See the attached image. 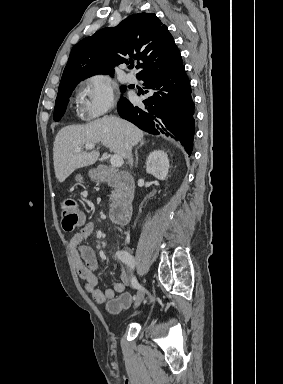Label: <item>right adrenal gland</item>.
Returning a JSON list of instances; mask_svg holds the SVG:
<instances>
[{
  "label": "right adrenal gland",
  "instance_id": "1",
  "mask_svg": "<svg viewBox=\"0 0 283 384\" xmlns=\"http://www.w3.org/2000/svg\"><path fill=\"white\" fill-rule=\"evenodd\" d=\"M143 144H145L144 140H142V142H140V146H143ZM140 146H138V148H136V150H135V156H136L135 166H136V168L138 166V154H137V152H138Z\"/></svg>",
  "mask_w": 283,
  "mask_h": 384
}]
</instances>
